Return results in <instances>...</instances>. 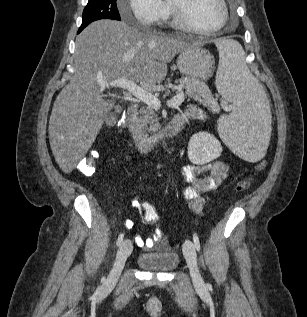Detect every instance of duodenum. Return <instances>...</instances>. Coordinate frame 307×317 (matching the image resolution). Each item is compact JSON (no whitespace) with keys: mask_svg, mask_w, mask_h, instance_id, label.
I'll return each instance as SVG.
<instances>
[{"mask_svg":"<svg viewBox=\"0 0 307 317\" xmlns=\"http://www.w3.org/2000/svg\"><path fill=\"white\" fill-rule=\"evenodd\" d=\"M138 109L136 106H130L126 113V121L129 122L128 132L134 144V147L139 151H146L165 138L174 136L187 121L184 116H179L175 121L162 133L148 137L146 136L139 127L137 122Z\"/></svg>","mask_w":307,"mask_h":317,"instance_id":"410a0bca","label":"duodenum"}]
</instances>
